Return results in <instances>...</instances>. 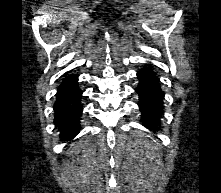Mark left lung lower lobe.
I'll return each mask as SVG.
<instances>
[{"instance_id": "1", "label": "left lung lower lobe", "mask_w": 221, "mask_h": 193, "mask_svg": "<svg viewBox=\"0 0 221 193\" xmlns=\"http://www.w3.org/2000/svg\"><path fill=\"white\" fill-rule=\"evenodd\" d=\"M137 76L139 83L135 90L140 98L142 124L150 130L157 131L164 113V92L161 82L152 66L143 67Z\"/></svg>"}]
</instances>
